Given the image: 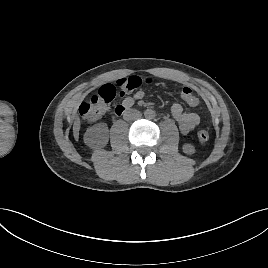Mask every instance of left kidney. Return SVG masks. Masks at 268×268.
I'll use <instances>...</instances> for the list:
<instances>
[{"mask_svg":"<svg viewBox=\"0 0 268 268\" xmlns=\"http://www.w3.org/2000/svg\"><path fill=\"white\" fill-rule=\"evenodd\" d=\"M183 152L188 154V155H192L195 153V148L192 144L190 143H185L183 145Z\"/></svg>","mask_w":268,"mask_h":268,"instance_id":"5707ae66","label":"left kidney"}]
</instances>
